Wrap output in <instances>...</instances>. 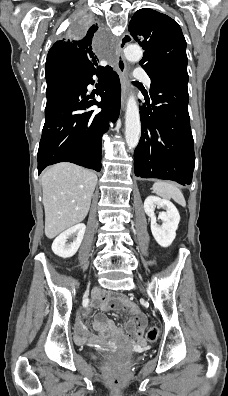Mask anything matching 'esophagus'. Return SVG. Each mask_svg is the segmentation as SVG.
I'll return each instance as SVG.
<instances>
[{"mask_svg": "<svg viewBox=\"0 0 228 396\" xmlns=\"http://www.w3.org/2000/svg\"><path fill=\"white\" fill-rule=\"evenodd\" d=\"M129 42V37L123 35L117 45L116 49V70L118 72L120 83H121V107L125 108L126 98L129 91V75L127 63L123 56V49Z\"/></svg>", "mask_w": 228, "mask_h": 396, "instance_id": "esophagus-1", "label": "esophagus"}]
</instances>
